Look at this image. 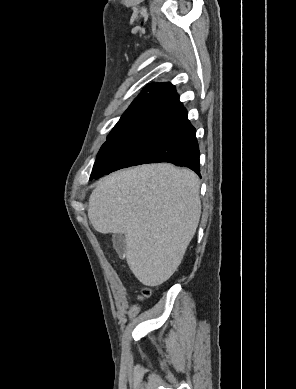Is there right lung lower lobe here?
I'll return each instance as SVG.
<instances>
[{"instance_id":"1","label":"right lung lower lobe","mask_w":296,"mask_h":389,"mask_svg":"<svg viewBox=\"0 0 296 389\" xmlns=\"http://www.w3.org/2000/svg\"><path fill=\"white\" fill-rule=\"evenodd\" d=\"M199 157L196 129L185 117L150 149L142 164L169 162L176 166L190 168L200 176ZM113 171L115 170L111 169L101 173L92 172L90 180Z\"/></svg>"}]
</instances>
